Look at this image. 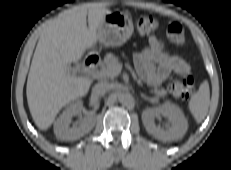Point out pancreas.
Instances as JSON below:
<instances>
[{
	"instance_id": "obj_1",
	"label": "pancreas",
	"mask_w": 231,
	"mask_h": 170,
	"mask_svg": "<svg viewBox=\"0 0 231 170\" xmlns=\"http://www.w3.org/2000/svg\"><path fill=\"white\" fill-rule=\"evenodd\" d=\"M117 64H120L118 58L114 54L108 53L104 57L101 71L109 70L111 66ZM151 92L155 93L157 97H165V95L167 94V91L165 89H159V88H154L151 90Z\"/></svg>"
}]
</instances>
